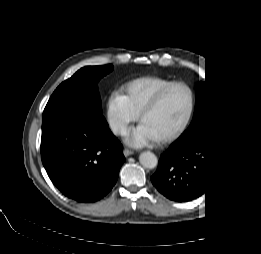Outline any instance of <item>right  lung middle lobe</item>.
I'll list each match as a JSON object with an SVG mask.
<instances>
[{
  "label": "right lung middle lobe",
  "instance_id": "obj_1",
  "mask_svg": "<svg viewBox=\"0 0 261 254\" xmlns=\"http://www.w3.org/2000/svg\"><path fill=\"white\" fill-rule=\"evenodd\" d=\"M112 69V65L81 68L71 78L58 86L45 108L70 106L82 110L95 119L105 120L102 116L97 85L99 80Z\"/></svg>",
  "mask_w": 261,
  "mask_h": 254
}]
</instances>
